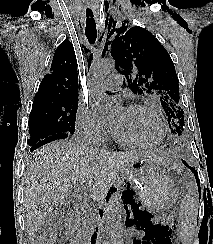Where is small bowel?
Masks as SVG:
<instances>
[{"mask_svg": "<svg viewBox=\"0 0 213 244\" xmlns=\"http://www.w3.org/2000/svg\"><path fill=\"white\" fill-rule=\"evenodd\" d=\"M145 244H155L156 242L153 241V242H144Z\"/></svg>", "mask_w": 213, "mask_h": 244, "instance_id": "small-bowel-1", "label": "small bowel"}]
</instances>
